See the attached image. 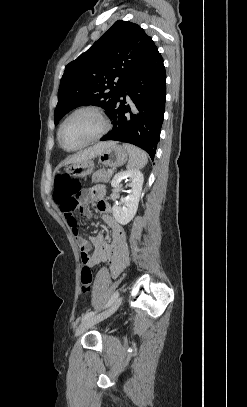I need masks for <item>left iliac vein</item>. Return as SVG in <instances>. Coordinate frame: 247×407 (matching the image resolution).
Returning <instances> with one entry per match:
<instances>
[{"instance_id":"left-iliac-vein-1","label":"left iliac vein","mask_w":247,"mask_h":407,"mask_svg":"<svg viewBox=\"0 0 247 407\" xmlns=\"http://www.w3.org/2000/svg\"><path fill=\"white\" fill-rule=\"evenodd\" d=\"M121 301H122V298H118L115 300V302L112 304V306L109 309H107L106 311H104L103 313L83 320L80 323V325L77 327L75 335L80 336L94 324L111 316L119 308Z\"/></svg>"}]
</instances>
